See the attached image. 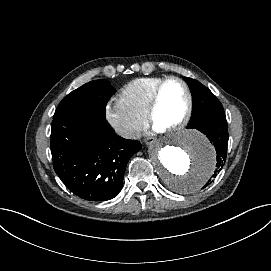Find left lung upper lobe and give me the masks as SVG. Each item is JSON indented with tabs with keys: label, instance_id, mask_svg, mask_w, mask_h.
I'll return each mask as SVG.
<instances>
[{
	"label": "left lung upper lobe",
	"instance_id": "left-lung-upper-lobe-1",
	"mask_svg": "<svg viewBox=\"0 0 271 271\" xmlns=\"http://www.w3.org/2000/svg\"><path fill=\"white\" fill-rule=\"evenodd\" d=\"M192 93V115L187 128H194L205 112L209 109L222 107L217 97L204 85L195 79L183 77Z\"/></svg>",
	"mask_w": 271,
	"mask_h": 271
}]
</instances>
